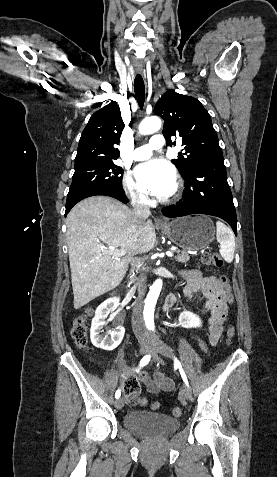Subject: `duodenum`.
<instances>
[{"instance_id": "duodenum-1", "label": "duodenum", "mask_w": 277, "mask_h": 477, "mask_svg": "<svg viewBox=\"0 0 277 477\" xmlns=\"http://www.w3.org/2000/svg\"><path fill=\"white\" fill-rule=\"evenodd\" d=\"M111 296H116L117 295V290H113L110 293ZM175 303V298L173 296H168L165 301V309H168Z\"/></svg>"}]
</instances>
